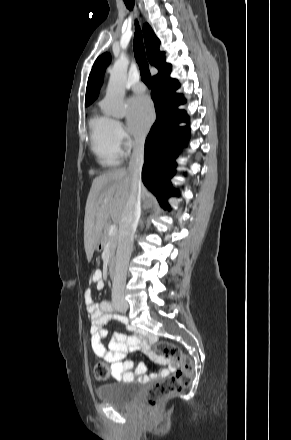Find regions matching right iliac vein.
Returning a JSON list of instances; mask_svg holds the SVG:
<instances>
[{"label":"right iliac vein","mask_w":291,"mask_h":440,"mask_svg":"<svg viewBox=\"0 0 291 440\" xmlns=\"http://www.w3.org/2000/svg\"><path fill=\"white\" fill-rule=\"evenodd\" d=\"M120 308H122V309H125V310H126V309L128 308V305H127V304H125V303H124V304H121V305H120Z\"/></svg>","instance_id":"1"}]
</instances>
